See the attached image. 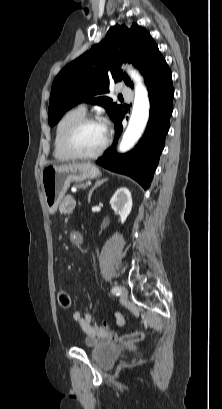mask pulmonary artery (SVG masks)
Here are the masks:
<instances>
[{"label": "pulmonary artery", "mask_w": 222, "mask_h": 409, "mask_svg": "<svg viewBox=\"0 0 222 409\" xmlns=\"http://www.w3.org/2000/svg\"><path fill=\"white\" fill-rule=\"evenodd\" d=\"M118 91H119L120 93H122L125 97L131 98L130 90H129L127 87H125L124 85L120 86L119 89H118ZM79 108H81L82 110L86 111V105H85V104H81V105L79 106Z\"/></svg>", "instance_id": "pulmonary-artery-1"}]
</instances>
